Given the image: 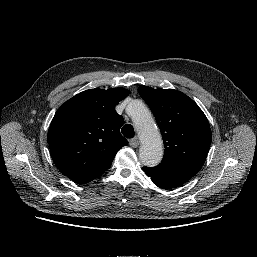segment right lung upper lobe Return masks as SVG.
Listing matches in <instances>:
<instances>
[{
	"label": "right lung upper lobe",
	"instance_id": "cb5924a9",
	"mask_svg": "<svg viewBox=\"0 0 257 257\" xmlns=\"http://www.w3.org/2000/svg\"><path fill=\"white\" fill-rule=\"evenodd\" d=\"M129 95L124 88L90 89L72 97L55 113L48 131L52 159L59 171L78 183L101 176L119 149L124 119L115 106Z\"/></svg>",
	"mask_w": 257,
	"mask_h": 257
}]
</instances>
